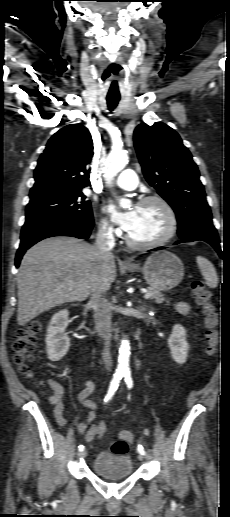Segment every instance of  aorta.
I'll list each match as a JSON object with an SVG mask.
<instances>
[{"mask_svg": "<svg viewBox=\"0 0 230 517\" xmlns=\"http://www.w3.org/2000/svg\"><path fill=\"white\" fill-rule=\"evenodd\" d=\"M128 155L123 150H112L104 164V179L107 184H111L114 177L127 165ZM125 199L120 200V204H124ZM130 359V343L127 339L121 341L118 354V370L125 371L129 369Z\"/></svg>", "mask_w": 230, "mask_h": 517, "instance_id": "762f6f07", "label": "aorta"}]
</instances>
